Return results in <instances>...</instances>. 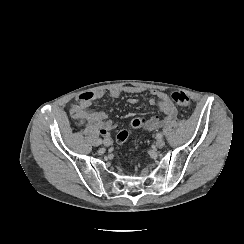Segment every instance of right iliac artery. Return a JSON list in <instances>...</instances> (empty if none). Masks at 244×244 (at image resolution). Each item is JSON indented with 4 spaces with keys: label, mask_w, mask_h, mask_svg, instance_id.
<instances>
[{
    "label": "right iliac artery",
    "mask_w": 244,
    "mask_h": 244,
    "mask_svg": "<svg viewBox=\"0 0 244 244\" xmlns=\"http://www.w3.org/2000/svg\"><path fill=\"white\" fill-rule=\"evenodd\" d=\"M98 144H102V139L100 138V139H98Z\"/></svg>",
    "instance_id": "82829eb1"
}]
</instances>
